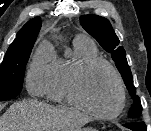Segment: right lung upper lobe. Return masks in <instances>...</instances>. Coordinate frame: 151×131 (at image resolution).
Instances as JSON below:
<instances>
[{
	"label": "right lung upper lobe",
	"mask_w": 151,
	"mask_h": 131,
	"mask_svg": "<svg viewBox=\"0 0 151 131\" xmlns=\"http://www.w3.org/2000/svg\"><path fill=\"white\" fill-rule=\"evenodd\" d=\"M41 28V19L36 17L28 21L18 32L17 37L9 49L19 48L34 44Z\"/></svg>",
	"instance_id": "1"
}]
</instances>
